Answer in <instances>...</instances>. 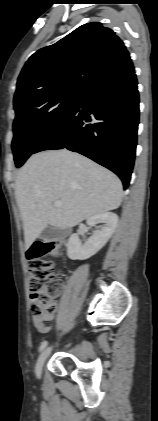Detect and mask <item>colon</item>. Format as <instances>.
Wrapping results in <instances>:
<instances>
[{
    "mask_svg": "<svg viewBox=\"0 0 158 421\" xmlns=\"http://www.w3.org/2000/svg\"><path fill=\"white\" fill-rule=\"evenodd\" d=\"M61 253L59 242H36L26 253L32 312L37 318L52 316L56 310L55 298L62 283L54 273L51 258L59 257Z\"/></svg>",
    "mask_w": 158,
    "mask_h": 421,
    "instance_id": "5ec220e1",
    "label": "colon"
}]
</instances>
